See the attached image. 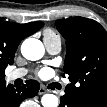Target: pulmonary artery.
Here are the masks:
<instances>
[{"mask_svg": "<svg viewBox=\"0 0 107 107\" xmlns=\"http://www.w3.org/2000/svg\"><path fill=\"white\" fill-rule=\"evenodd\" d=\"M44 44L47 49V51L50 54H57L61 50V39L60 37H55V38H45L44 39ZM27 74V69L20 68V69H15L11 71L8 74V80L13 81L18 78H22Z\"/></svg>", "mask_w": 107, "mask_h": 107, "instance_id": "obj_1", "label": "pulmonary artery"}]
</instances>
